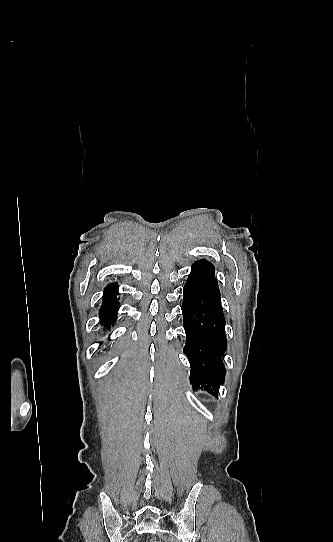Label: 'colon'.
Segmentation results:
<instances>
[{
    "mask_svg": "<svg viewBox=\"0 0 333 542\" xmlns=\"http://www.w3.org/2000/svg\"><path fill=\"white\" fill-rule=\"evenodd\" d=\"M142 542H163L161 536H144Z\"/></svg>",
    "mask_w": 333,
    "mask_h": 542,
    "instance_id": "5ec220e1",
    "label": "colon"
}]
</instances>
